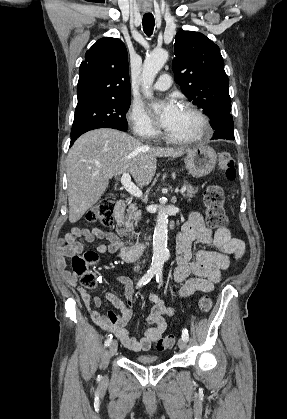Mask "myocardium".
Instances as JSON below:
<instances>
[{
    "instance_id": "obj_1",
    "label": "myocardium",
    "mask_w": 287,
    "mask_h": 419,
    "mask_svg": "<svg viewBox=\"0 0 287 419\" xmlns=\"http://www.w3.org/2000/svg\"><path fill=\"white\" fill-rule=\"evenodd\" d=\"M183 108L193 114L201 124V131L195 136L188 137V138H179L170 135L167 131L165 132L164 136L167 141L174 143V144H181V145H188L201 142L207 138H209L212 134V128L210 122L206 115L200 111L197 107L192 104L185 103Z\"/></svg>"
}]
</instances>
